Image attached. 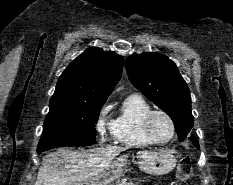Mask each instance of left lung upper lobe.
I'll return each instance as SVG.
<instances>
[{
  "mask_svg": "<svg viewBox=\"0 0 233 185\" xmlns=\"http://www.w3.org/2000/svg\"><path fill=\"white\" fill-rule=\"evenodd\" d=\"M125 67L132 84L171 117L183 141L194 120L190 92L176 64L163 54L143 53L128 57Z\"/></svg>",
  "mask_w": 233,
  "mask_h": 185,
  "instance_id": "left-lung-upper-lobe-1",
  "label": "left lung upper lobe"
}]
</instances>
